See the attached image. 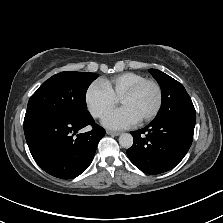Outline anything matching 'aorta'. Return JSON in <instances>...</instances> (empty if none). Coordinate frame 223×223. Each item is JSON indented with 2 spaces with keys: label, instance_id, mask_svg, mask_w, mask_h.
<instances>
[{
  "label": "aorta",
  "instance_id": "obj_1",
  "mask_svg": "<svg viewBox=\"0 0 223 223\" xmlns=\"http://www.w3.org/2000/svg\"><path fill=\"white\" fill-rule=\"evenodd\" d=\"M119 144L123 148H130L133 144V137L129 133H123L119 137Z\"/></svg>",
  "mask_w": 223,
  "mask_h": 223
}]
</instances>
